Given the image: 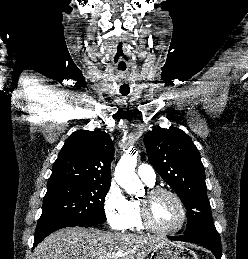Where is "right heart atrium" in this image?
Returning <instances> with one entry per match:
<instances>
[{
  "mask_svg": "<svg viewBox=\"0 0 248 259\" xmlns=\"http://www.w3.org/2000/svg\"><path fill=\"white\" fill-rule=\"evenodd\" d=\"M129 209L130 200L116 184H112L104 198V212L110 227L115 230L125 229Z\"/></svg>",
  "mask_w": 248,
  "mask_h": 259,
  "instance_id": "d8ad5b80",
  "label": "right heart atrium"
}]
</instances>
